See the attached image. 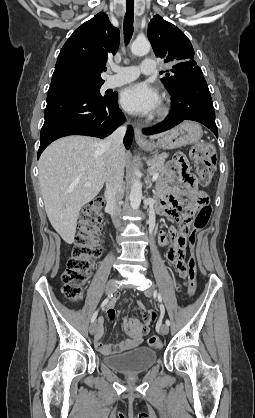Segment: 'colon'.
<instances>
[{"instance_id":"5ec220e1","label":"colon","mask_w":255,"mask_h":418,"mask_svg":"<svg viewBox=\"0 0 255 418\" xmlns=\"http://www.w3.org/2000/svg\"><path fill=\"white\" fill-rule=\"evenodd\" d=\"M190 156L194 162L196 174L199 182L203 186L210 184L217 161V154L214 146L209 143L196 144ZM197 202L200 208L193 219L187 218L181 228H192L193 234L188 235L187 244L189 246V258L186 261L188 266V277L186 284L190 296L196 291V243L195 231L206 226L210 218L212 208L208 203L205 194L200 193L197 196ZM103 199L97 197L88 202L80 213L79 227L80 231L76 239L72 254L68 260L67 268L62 275V291L64 295L73 302H78L83 294V284L88 279L95 260L101 255L102 250L97 240V234L100 230L101 209ZM171 263V262H170ZM149 345L153 348L161 347V340L158 336H151L148 339Z\"/></svg>"}]
</instances>
